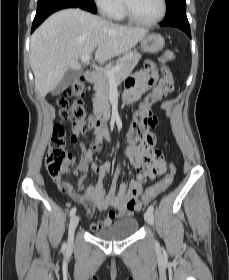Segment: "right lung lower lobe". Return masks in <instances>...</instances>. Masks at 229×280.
<instances>
[{"mask_svg":"<svg viewBox=\"0 0 229 280\" xmlns=\"http://www.w3.org/2000/svg\"><path fill=\"white\" fill-rule=\"evenodd\" d=\"M81 8L96 13L93 0H38L37 12L34 18L31 33L52 13L64 8Z\"/></svg>","mask_w":229,"mask_h":280,"instance_id":"right-lung-lower-lobe-1","label":"right lung lower lobe"}]
</instances>
